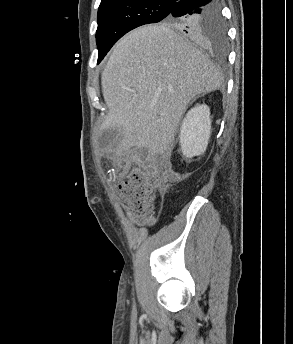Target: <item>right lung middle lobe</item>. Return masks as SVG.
I'll list each match as a JSON object with an SVG mask.
<instances>
[{"label": "right lung middle lobe", "instance_id": "obj_1", "mask_svg": "<svg viewBox=\"0 0 293 344\" xmlns=\"http://www.w3.org/2000/svg\"><path fill=\"white\" fill-rule=\"evenodd\" d=\"M175 2L167 0H107L100 3L98 9V28L96 42L99 50L98 63L124 34L144 24L165 23L180 29L188 23L202 27V33L196 40L216 49H225L227 45L226 28L219 6L210 12L195 16L174 18L170 16Z\"/></svg>", "mask_w": 293, "mask_h": 344}]
</instances>
